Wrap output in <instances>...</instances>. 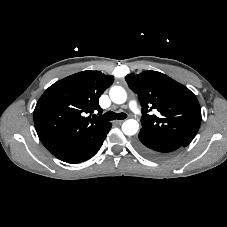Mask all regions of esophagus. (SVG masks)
<instances>
[{
    "mask_svg": "<svg viewBox=\"0 0 227 227\" xmlns=\"http://www.w3.org/2000/svg\"><path fill=\"white\" fill-rule=\"evenodd\" d=\"M123 122H124V120H116V121H114V123L118 124V125L122 124Z\"/></svg>",
    "mask_w": 227,
    "mask_h": 227,
    "instance_id": "obj_1",
    "label": "esophagus"
}]
</instances>
